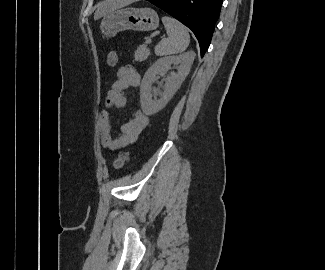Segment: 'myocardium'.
<instances>
[{
	"mask_svg": "<svg viewBox=\"0 0 325 270\" xmlns=\"http://www.w3.org/2000/svg\"><path fill=\"white\" fill-rule=\"evenodd\" d=\"M126 1H128V2H133V1H138V0H126Z\"/></svg>",
	"mask_w": 325,
	"mask_h": 270,
	"instance_id": "obj_1",
	"label": "myocardium"
}]
</instances>
